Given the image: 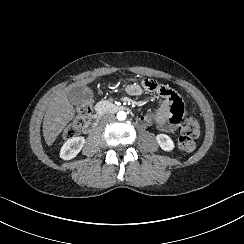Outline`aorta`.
Listing matches in <instances>:
<instances>
[{"label":"aorta","mask_w":244,"mask_h":244,"mask_svg":"<svg viewBox=\"0 0 244 244\" xmlns=\"http://www.w3.org/2000/svg\"><path fill=\"white\" fill-rule=\"evenodd\" d=\"M126 117H127V115H126V112H124V111H119V112L117 113V119H118V120H125Z\"/></svg>","instance_id":"762f6f07"}]
</instances>
